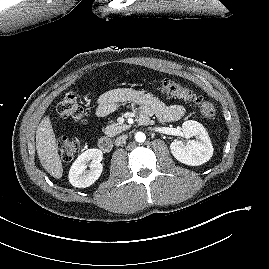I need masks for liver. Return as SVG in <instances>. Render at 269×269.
Segmentation results:
<instances>
[{
	"label": "liver",
	"mask_w": 269,
	"mask_h": 269,
	"mask_svg": "<svg viewBox=\"0 0 269 269\" xmlns=\"http://www.w3.org/2000/svg\"><path fill=\"white\" fill-rule=\"evenodd\" d=\"M36 150L43 168L54 178H61L62 162L49 116H45L37 128Z\"/></svg>",
	"instance_id": "liver-1"
}]
</instances>
